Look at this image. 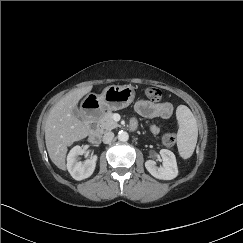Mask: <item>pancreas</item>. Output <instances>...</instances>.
Returning <instances> with one entry per match:
<instances>
[{
  "label": "pancreas",
  "mask_w": 243,
  "mask_h": 243,
  "mask_svg": "<svg viewBox=\"0 0 243 243\" xmlns=\"http://www.w3.org/2000/svg\"><path fill=\"white\" fill-rule=\"evenodd\" d=\"M98 123L101 132L110 131L119 127V124L113 120V113L111 111L106 112Z\"/></svg>",
  "instance_id": "1"
}]
</instances>
